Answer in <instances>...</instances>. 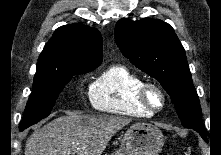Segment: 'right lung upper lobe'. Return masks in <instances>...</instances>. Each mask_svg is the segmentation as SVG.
Returning <instances> with one entry per match:
<instances>
[{"label":"right lung upper lobe","mask_w":221,"mask_h":155,"mask_svg":"<svg viewBox=\"0 0 221 155\" xmlns=\"http://www.w3.org/2000/svg\"><path fill=\"white\" fill-rule=\"evenodd\" d=\"M102 37L98 30L80 24L59 27L39 56L37 68L100 65Z\"/></svg>","instance_id":"1"}]
</instances>
